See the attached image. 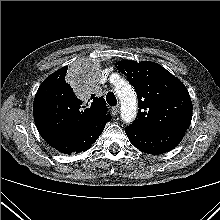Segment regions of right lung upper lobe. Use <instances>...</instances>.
Here are the masks:
<instances>
[{
    "label": "right lung upper lobe",
    "instance_id": "cb5924a9",
    "mask_svg": "<svg viewBox=\"0 0 220 220\" xmlns=\"http://www.w3.org/2000/svg\"><path fill=\"white\" fill-rule=\"evenodd\" d=\"M64 66L40 85L33 103L35 124L43 138H55L80 131L101 118L111 119L103 97L91 94L83 104L67 82Z\"/></svg>",
    "mask_w": 220,
    "mask_h": 220
}]
</instances>
